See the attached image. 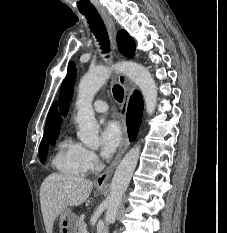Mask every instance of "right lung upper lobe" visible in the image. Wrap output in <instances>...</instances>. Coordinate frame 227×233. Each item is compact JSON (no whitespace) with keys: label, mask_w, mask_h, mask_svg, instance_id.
Here are the masks:
<instances>
[{"label":"right lung upper lobe","mask_w":227,"mask_h":233,"mask_svg":"<svg viewBox=\"0 0 227 233\" xmlns=\"http://www.w3.org/2000/svg\"><path fill=\"white\" fill-rule=\"evenodd\" d=\"M56 112H57V106H56V102H54L47 116L44 136H43L41 144H49V141L52 136V130L54 127L55 119H56Z\"/></svg>","instance_id":"obj_1"}]
</instances>
